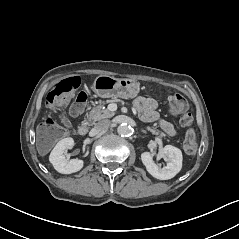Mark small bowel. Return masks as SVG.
Here are the masks:
<instances>
[{"label": "small bowel", "mask_w": 239, "mask_h": 239, "mask_svg": "<svg viewBox=\"0 0 239 239\" xmlns=\"http://www.w3.org/2000/svg\"><path fill=\"white\" fill-rule=\"evenodd\" d=\"M134 107L142 119L149 122L157 121L165 133L171 136L176 134L172 123L160 119L157 112V102L154 99L140 96L134 100Z\"/></svg>", "instance_id": "small-bowel-1"}]
</instances>
